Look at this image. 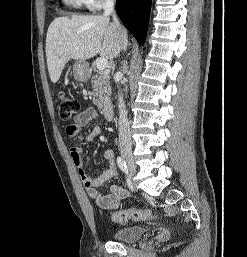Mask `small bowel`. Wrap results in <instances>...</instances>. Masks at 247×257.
Masks as SVG:
<instances>
[{
	"mask_svg": "<svg viewBox=\"0 0 247 257\" xmlns=\"http://www.w3.org/2000/svg\"><path fill=\"white\" fill-rule=\"evenodd\" d=\"M96 117L97 113L95 109H84L75 117L74 123L66 127L67 136L72 140H78L80 138L81 130ZM99 133L100 128L96 127L82 140L85 143L91 142ZM70 156L78 170V174L86 188L89 197L94 200L100 208L106 210H114L118 207L120 201L128 196L126 189L116 185L111 186L110 194H102L98 190L99 187L117 175V165L112 150L107 149L104 151L103 157L107 163V168L101 175L96 178H91L87 175L85 164L82 158V148L80 146L72 147L70 149Z\"/></svg>",
	"mask_w": 247,
	"mask_h": 257,
	"instance_id": "1",
	"label": "small bowel"
}]
</instances>
